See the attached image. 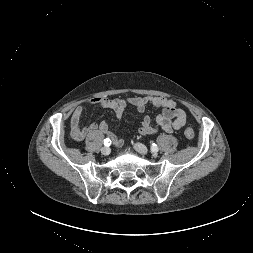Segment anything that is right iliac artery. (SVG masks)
<instances>
[{
    "label": "right iliac artery",
    "instance_id": "obj_1",
    "mask_svg": "<svg viewBox=\"0 0 253 253\" xmlns=\"http://www.w3.org/2000/svg\"><path fill=\"white\" fill-rule=\"evenodd\" d=\"M111 143H112V141H111L109 138H106V139L104 140V145H105V146H110Z\"/></svg>",
    "mask_w": 253,
    "mask_h": 253
}]
</instances>
